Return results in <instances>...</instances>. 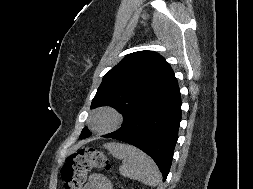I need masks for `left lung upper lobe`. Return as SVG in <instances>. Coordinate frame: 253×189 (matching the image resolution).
Wrapping results in <instances>:
<instances>
[{
  "instance_id": "1",
  "label": "left lung upper lobe",
  "mask_w": 253,
  "mask_h": 189,
  "mask_svg": "<svg viewBox=\"0 0 253 189\" xmlns=\"http://www.w3.org/2000/svg\"><path fill=\"white\" fill-rule=\"evenodd\" d=\"M176 83L173 70L161 55L152 51L134 52L105 74L91 108L111 106L124 115L125 123ZM85 133L90 132L84 128L81 135Z\"/></svg>"
}]
</instances>
